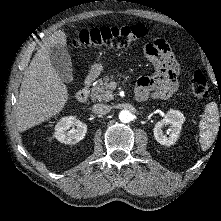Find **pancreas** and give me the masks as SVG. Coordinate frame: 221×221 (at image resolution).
I'll return each mask as SVG.
<instances>
[{
    "label": "pancreas",
    "mask_w": 221,
    "mask_h": 221,
    "mask_svg": "<svg viewBox=\"0 0 221 221\" xmlns=\"http://www.w3.org/2000/svg\"><path fill=\"white\" fill-rule=\"evenodd\" d=\"M112 80L111 77H104L99 79L91 89L92 100H98L100 102H109L113 99V92L108 87V82Z\"/></svg>",
    "instance_id": "cf45deb5"
}]
</instances>
